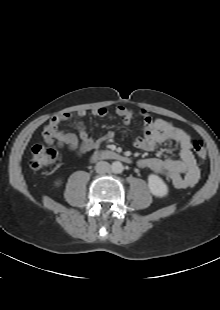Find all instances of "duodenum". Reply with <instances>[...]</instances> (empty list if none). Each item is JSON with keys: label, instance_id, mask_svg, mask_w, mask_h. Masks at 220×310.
<instances>
[{"label": "duodenum", "instance_id": "1", "mask_svg": "<svg viewBox=\"0 0 220 310\" xmlns=\"http://www.w3.org/2000/svg\"><path fill=\"white\" fill-rule=\"evenodd\" d=\"M101 158L110 159V160H118V161H123V162L130 161V159L126 157L125 155L114 152V151H108V150L97 152L92 156L93 161L99 160Z\"/></svg>", "mask_w": 220, "mask_h": 310}]
</instances>
